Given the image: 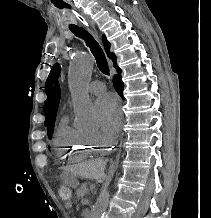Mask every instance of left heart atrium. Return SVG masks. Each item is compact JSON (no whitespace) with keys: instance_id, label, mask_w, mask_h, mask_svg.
<instances>
[{"instance_id":"left-heart-atrium-1","label":"left heart atrium","mask_w":211,"mask_h":218,"mask_svg":"<svg viewBox=\"0 0 211 218\" xmlns=\"http://www.w3.org/2000/svg\"><path fill=\"white\" fill-rule=\"evenodd\" d=\"M96 110L101 130L114 136L120 127L122 110L113 94H105L96 101Z\"/></svg>"}]
</instances>
